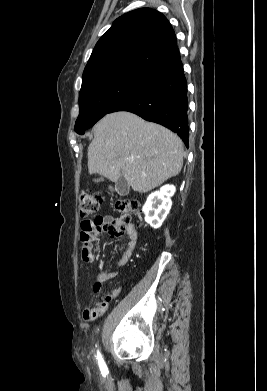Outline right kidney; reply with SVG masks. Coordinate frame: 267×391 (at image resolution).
I'll return each mask as SVG.
<instances>
[{
	"label": "right kidney",
	"mask_w": 267,
	"mask_h": 391,
	"mask_svg": "<svg viewBox=\"0 0 267 391\" xmlns=\"http://www.w3.org/2000/svg\"><path fill=\"white\" fill-rule=\"evenodd\" d=\"M175 190L173 185H165L159 191H155L148 196L143 206V212L145 221L151 227L157 229L162 225L171 209V197L174 195Z\"/></svg>",
	"instance_id": "ca27d5eb"
}]
</instances>
